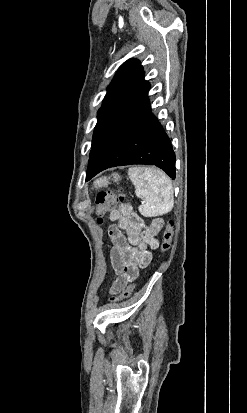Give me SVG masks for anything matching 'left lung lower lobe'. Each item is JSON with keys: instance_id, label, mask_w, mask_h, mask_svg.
I'll return each instance as SVG.
<instances>
[{"instance_id": "0a47b994", "label": "left lung lower lobe", "mask_w": 247, "mask_h": 413, "mask_svg": "<svg viewBox=\"0 0 247 413\" xmlns=\"http://www.w3.org/2000/svg\"><path fill=\"white\" fill-rule=\"evenodd\" d=\"M148 91L92 146L86 181L114 166L156 165L175 179L171 142L148 101Z\"/></svg>"}]
</instances>
